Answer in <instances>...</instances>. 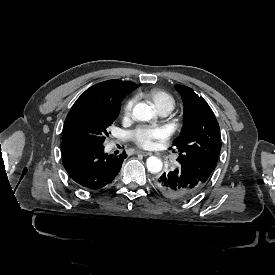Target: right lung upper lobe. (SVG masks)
<instances>
[{
    "label": "right lung upper lobe",
    "instance_id": "right-lung-upper-lobe-1",
    "mask_svg": "<svg viewBox=\"0 0 275 275\" xmlns=\"http://www.w3.org/2000/svg\"><path fill=\"white\" fill-rule=\"evenodd\" d=\"M137 84L129 81L108 80L87 89L74 103L67 116L82 109L104 105L108 107H121V101Z\"/></svg>",
    "mask_w": 275,
    "mask_h": 275
}]
</instances>
